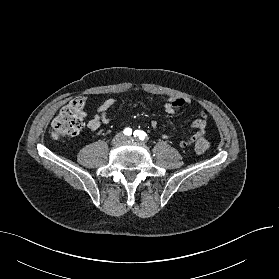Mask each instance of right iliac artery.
I'll return each mask as SVG.
<instances>
[{
	"label": "right iliac artery",
	"instance_id": "82829eb1",
	"mask_svg": "<svg viewBox=\"0 0 279 279\" xmlns=\"http://www.w3.org/2000/svg\"><path fill=\"white\" fill-rule=\"evenodd\" d=\"M123 132L126 136H130L132 134V129L131 128H125Z\"/></svg>",
	"mask_w": 279,
	"mask_h": 279
}]
</instances>
